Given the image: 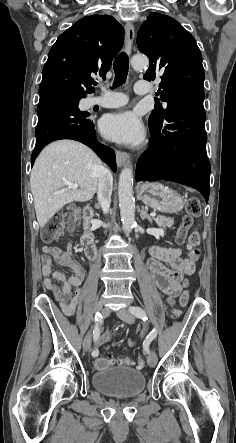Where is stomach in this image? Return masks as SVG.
<instances>
[{
  "label": "stomach",
  "mask_w": 236,
  "mask_h": 443,
  "mask_svg": "<svg viewBox=\"0 0 236 443\" xmlns=\"http://www.w3.org/2000/svg\"><path fill=\"white\" fill-rule=\"evenodd\" d=\"M138 194L144 204L162 213H177L184 207L181 196L160 183H144Z\"/></svg>",
  "instance_id": "stomach-1"
}]
</instances>
